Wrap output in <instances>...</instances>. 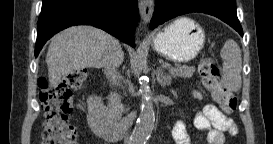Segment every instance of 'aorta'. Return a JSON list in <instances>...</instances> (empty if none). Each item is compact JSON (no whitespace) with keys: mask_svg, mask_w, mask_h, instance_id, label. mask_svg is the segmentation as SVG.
I'll use <instances>...</instances> for the list:
<instances>
[{"mask_svg":"<svg viewBox=\"0 0 273 144\" xmlns=\"http://www.w3.org/2000/svg\"><path fill=\"white\" fill-rule=\"evenodd\" d=\"M141 111L137 119L132 142L146 144L154 128L155 112L152 102V92L145 77L140 78Z\"/></svg>","mask_w":273,"mask_h":144,"instance_id":"1","label":"aorta"}]
</instances>
